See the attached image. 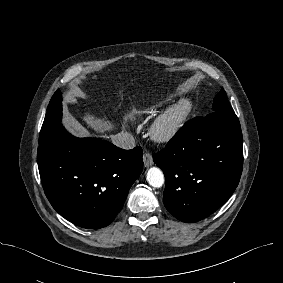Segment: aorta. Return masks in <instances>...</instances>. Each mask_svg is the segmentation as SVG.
<instances>
[{"mask_svg": "<svg viewBox=\"0 0 283 283\" xmlns=\"http://www.w3.org/2000/svg\"><path fill=\"white\" fill-rule=\"evenodd\" d=\"M146 179L148 183L155 188H159L164 184L163 172L157 167H152L148 170Z\"/></svg>", "mask_w": 283, "mask_h": 283, "instance_id": "aorta-1", "label": "aorta"}]
</instances>
